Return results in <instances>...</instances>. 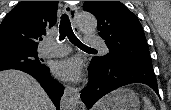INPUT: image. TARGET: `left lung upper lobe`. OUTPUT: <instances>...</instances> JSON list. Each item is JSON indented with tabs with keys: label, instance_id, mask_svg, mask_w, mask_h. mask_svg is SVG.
<instances>
[{
	"label": "left lung upper lobe",
	"instance_id": "5c2ea615",
	"mask_svg": "<svg viewBox=\"0 0 171 110\" xmlns=\"http://www.w3.org/2000/svg\"><path fill=\"white\" fill-rule=\"evenodd\" d=\"M83 10L97 18L99 35L109 49L107 55L94 57L91 63L124 62L152 66L142 25L126 6L119 1H85Z\"/></svg>",
	"mask_w": 171,
	"mask_h": 110
}]
</instances>
